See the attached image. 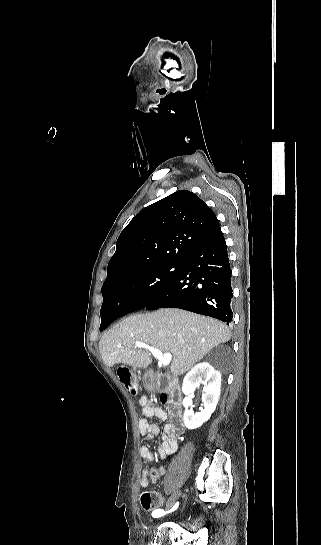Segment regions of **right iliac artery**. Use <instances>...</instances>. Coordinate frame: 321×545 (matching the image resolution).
Listing matches in <instances>:
<instances>
[{
  "label": "right iliac artery",
  "mask_w": 321,
  "mask_h": 545,
  "mask_svg": "<svg viewBox=\"0 0 321 545\" xmlns=\"http://www.w3.org/2000/svg\"><path fill=\"white\" fill-rule=\"evenodd\" d=\"M177 507H178V503L175 504V506H174L169 512L174 511ZM166 513H168V512H165L164 510L158 509V510H155V511L152 513V516H153V517H160V516H162V515H164V514H166Z\"/></svg>",
  "instance_id": "82829eb1"
}]
</instances>
